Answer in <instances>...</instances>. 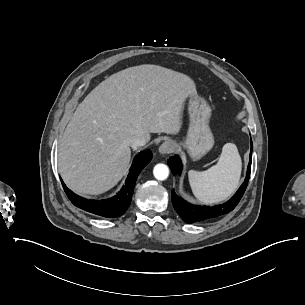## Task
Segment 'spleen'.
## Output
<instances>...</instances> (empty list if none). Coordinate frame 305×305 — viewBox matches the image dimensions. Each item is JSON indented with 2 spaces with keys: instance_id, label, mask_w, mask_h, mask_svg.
<instances>
[{
  "instance_id": "1",
  "label": "spleen",
  "mask_w": 305,
  "mask_h": 305,
  "mask_svg": "<svg viewBox=\"0 0 305 305\" xmlns=\"http://www.w3.org/2000/svg\"><path fill=\"white\" fill-rule=\"evenodd\" d=\"M241 161L233 143L223 145L215 164L205 170L189 171L193 193L205 203L218 202L229 196L238 185Z\"/></svg>"
}]
</instances>
